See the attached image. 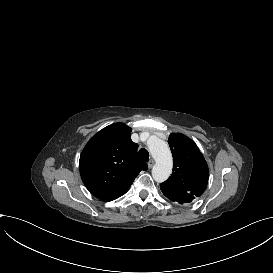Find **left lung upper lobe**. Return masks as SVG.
Returning a JSON list of instances; mask_svg holds the SVG:
<instances>
[{
  "label": "left lung upper lobe",
  "instance_id": "obj_1",
  "mask_svg": "<svg viewBox=\"0 0 273 273\" xmlns=\"http://www.w3.org/2000/svg\"><path fill=\"white\" fill-rule=\"evenodd\" d=\"M168 143L174 163L171 176L160 185L163 194L169 199L201 196L208 182V166L197 145L180 133L170 134Z\"/></svg>",
  "mask_w": 273,
  "mask_h": 273
}]
</instances>
